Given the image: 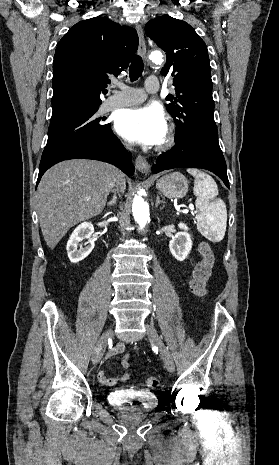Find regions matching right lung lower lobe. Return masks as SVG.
I'll return each instance as SVG.
<instances>
[{"label": "right lung lower lobe", "mask_w": 279, "mask_h": 465, "mask_svg": "<svg viewBox=\"0 0 279 465\" xmlns=\"http://www.w3.org/2000/svg\"><path fill=\"white\" fill-rule=\"evenodd\" d=\"M76 158L95 159L114 164L128 176L133 175L135 169L131 161V154L125 150L113 132H110L97 138L77 139L41 159L36 186L42 175L51 166L63 160Z\"/></svg>", "instance_id": "right-lung-lower-lobe-1"}]
</instances>
